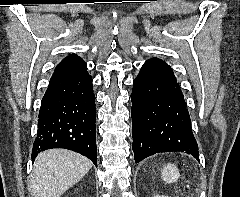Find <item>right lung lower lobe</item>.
I'll return each mask as SVG.
<instances>
[{
	"label": "right lung lower lobe",
	"mask_w": 240,
	"mask_h": 197,
	"mask_svg": "<svg viewBox=\"0 0 240 197\" xmlns=\"http://www.w3.org/2000/svg\"><path fill=\"white\" fill-rule=\"evenodd\" d=\"M96 107L87 66L55 70L41 102L32 159L41 151L64 148L97 166Z\"/></svg>",
	"instance_id": "right-lung-lower-lobe-1"
}]
</instances>
